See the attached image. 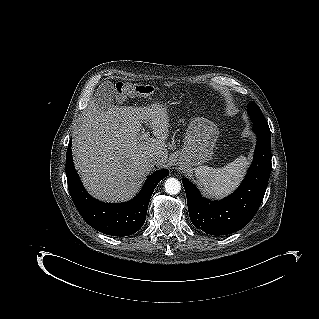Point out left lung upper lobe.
<instances>
[{
    "label": "left lung upper lobe",
    "instance_id": "left-lung-upper-lobe-1",
    "mask_svg": "<svg viewBox=\"0 0 319 319\" xmlns=\"http://www.w3.org/2000/svg\"><path fill=\"white\" fill-rule=\"evenodd\" d=\"M248 113L255 124L268 125L262 111L256 103H250L248 105Z\"/></svg>",
    "mask_w": 319,
    "mask_h": 319
}]
</instances>
